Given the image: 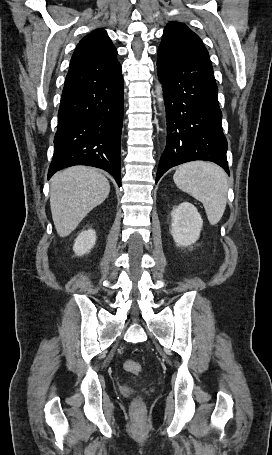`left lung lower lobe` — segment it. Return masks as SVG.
<instances>
[{
  "instance_id": "obj_1",
  "label": "left lung lower lobe",
  "mask_w": 272,
  "mask_h": 455,
  "mask_svg": "<svg viewBox=\"0 0 272 455\" xmlns=\"http://www.w3.org/2000/svg\"><path fill=\"white\" fill-rule=\"evenodd\" d=\"M157 66L163 84L168 134L156 183L168 169L193 160L212 161L229 175L227 140L212 66L173 67L159 59Z\"/></svg>"
}]
</instances>
